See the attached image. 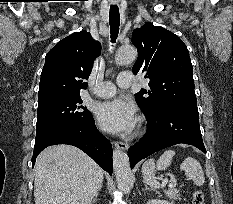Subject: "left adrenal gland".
Returning <instances> with one entry per match:
<instances>
[{
    "mask_svg": "<svg viewBox=\"0 0 233 204\" xmlns=\"http://www.w3.org/2000/svg\"><path fill=\"white\" fill-rule=\"evenodd\" d=\"M145 187H146V188H145L146 190H148V189H149V188H148V186H147L146 184H145Z\"/></svg>",
    "mask_w": 233,
    "mask_h": 204,
    "instance_id": "left-adrenal-gland-1",
    "label": "left adrenal gland"
}]
</instances>
